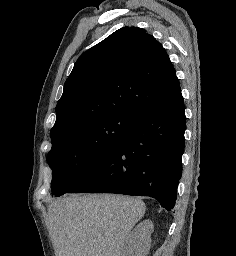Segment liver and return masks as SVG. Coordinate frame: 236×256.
I'll list each match as a JSON object with an SVG mask.
<instances>
[{
    "mask_svg": "<svg viewBox=\"0 0 236 256\" xmlns=\"http://www.w3.org/2000/svg\"><path fill=\"white\" fill-rule=\"evenodd\" d=\"M56 256H126V242L146 206L116 194L63 196L48 208Z\"/></svg>",
    "mask_w": 236,
    "mask_h": 256,
    "instance_id": "1",
    "label": "liver"
}]
</instances>
